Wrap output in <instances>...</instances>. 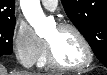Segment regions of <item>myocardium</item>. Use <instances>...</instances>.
<instances>
[{
  "mask_svg": "<svg viewBox=\"0 0 107 75\" xmlns=\"http://www.w3.org/2000/svg\"><path fill=\"white\" fill-rule=\"evenodd\" d=\"M57 29L70 30V31H73L77 35V37L79 38L80 42L82 43L86 51V60L82 64H79V65H74V66L64 65L58 61L51 44L48 41H46V53H47L48 65L51 68H54L56 70H61V71H80L90 66L94 59V53H93V50L89 41L87 40L83 32L74 24L67 23V22L58 24Z\"/></svg>",
  "mask_w": 107,
  "mask_h": 75,
  "instance_id": "obj_1",
  "label": "myocardium"
}]
</instances>
